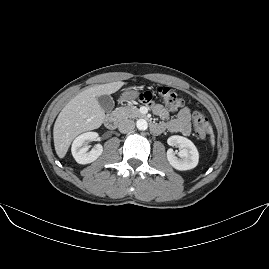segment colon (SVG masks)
<instances>
[{"mask_svg": "<svg viewBox=\"0 0 269 269\" xmlns=\"http://www.w3.org/2000/svg\"><path fill=\"white\" fill-rule=\"evenodd\" d=\"M162 104L169 110H178L183 106V98L173 89L162 86L157 89ZM137 98L144 103H152L153 95L148 91H141ZM192 126L196 136L201 140H208V122L202 112L196 111L192 115Z\"/></svg>", "mask_w": 269, "mask_h": 269, "instance_id": "1", "label": "colon"}]
</instances>
